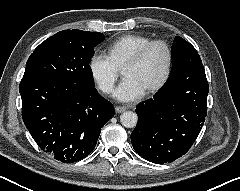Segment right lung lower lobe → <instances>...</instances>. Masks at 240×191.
Segmentation results:
<instances>
[{"label": "right lung lower lobe", "mask_w": 240, "mask_h": 191, "mask_svg": "<svg viewBox=\"0 0 240 191\" xmlns=\"http://www.w3.org/2000/svg\"><path fill=\"white\" fill-rule=\"evenodd\" d=\"M22 117L37 145L63 163L77 162L96 146L114 107L96 89L51 78L22 79Z\"/></svg>", "instance_id": "98d812e1"}]
</instances>
